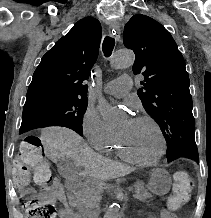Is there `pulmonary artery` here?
<instances>
[{
	"label": "pulmonary artery",
	"mask_w": 211,
	"mask_h": 218,
	"mask_svg": "<svg viewBox=\"0 0 211 218\" xmlns=\"http://www.w3.org/2000/svg\"><path fill=\"white\" fill-rule=\"evenodd\" d=\"M122 79H130V77L127 75H123L118 79L109 82L105 86L106 92L118 97L127 94L130 90V87H134V82L133 80H122Z\"/></svg>",
	"instance_id": "e3ab8cb5"
}]
</instances>
